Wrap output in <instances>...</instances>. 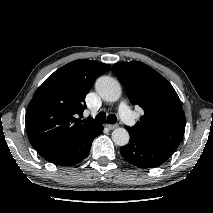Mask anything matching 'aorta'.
Here are the masks:
<instances>
[{
	"instance_id": "762f6f07",
	"label": "aorta",
	"mask_w": 213,
	"mask_h": 213,
	"mask_svg": "<svg viewBox=\"0 0 213 213\" xmlns=\"http://www.w3.org/2000/svg\"><path fill=\"white\" fill-rule=\"evenodd\" d=\"M95 88L100 97L108 102H115L121 96V87L117 80L109 76L97 79ZM129 133L125 128H116L112 132V140L118 146H125L129 142Z\"/></svg>"
}]
</instances>
